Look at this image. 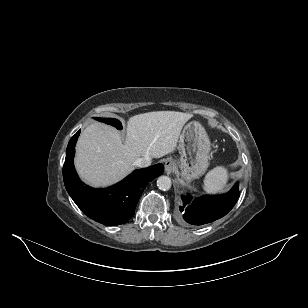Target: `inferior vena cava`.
Listing matches in <instances>:
<instances>
[{
	"label": "inferior vena cava",
	"instance_id": "1",
	"mask_svg": "<svg viewBox=\"0 0 308 308\" xmlns=\"http://www.w3.org/2000/svg\"><path fill=\"white\" fill-rule=\"evenodd\" d=\"M152 163L149 156L141 157L135 161V165L141 168L148 167Z\"/></svg>",
	"mask_w": 308,
	"mask_h": 308
}]
</instances>
